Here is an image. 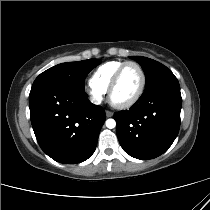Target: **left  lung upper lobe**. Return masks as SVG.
<instances>
[{
    "mask_svg": "<svg viewBox=\"0 0 210 210\" xmlns=\"http://www.w3.org/2000/svg\"><path fill=\"white\" fill-rule=\"evenodd\" d=\"M130 58L138 62L144 70L146 76V87L152 85L158 80L174 75L166 66L150 58L142 56Z\"/></svg>",
    "mask_w": 210,
    "mask_h": 210,
    "instance_id": "5c2ea615",
    "label": "left lung upper lobe"
}]
</instances>
